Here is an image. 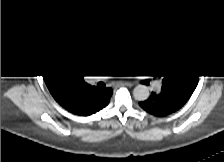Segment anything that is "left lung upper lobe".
I'll return each mask as SVG.
<instances>
[{
  "instance_id": "left-lung-upper-lobe-1",
  "label": "left lung upper lobe",
  "mask_w": 224,
  "mask_h": 162,
  "mask_svg": "<svg viewBox=\"0 0 224 162\" xmlns=\"http://www.w3.org/2000/svg\"><path fill=\"white\" fill-rule=\"evenodd\" d=\"M167 71L163 79L162 88L185 91L192 94L198 83V70L192 69L190 64L185 63L177 56H171L162 68L156 72Z\"/></svg>"
}]
</instances>
